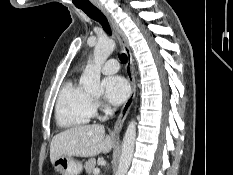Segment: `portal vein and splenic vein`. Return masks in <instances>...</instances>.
I'll return each mask as SVG.
<instances>
[{
  "mask_svg": "<svg viewBox=\"0 0 233 175\" xmlns=\"http://www.w3.org/2000/svg\"><path fill=\"white\" fill-rule=\"evenodd\" d=\"M100 173V170L98 168L94 169L93 174L98 175Z\"/></svg>",
  "mask_w": 233,
  "mask_h": 175,
  "instance_id": "portal-vein-and-splenic-vein-1",
  "label": "portal vein and splenic vein"
}]
</instances>
